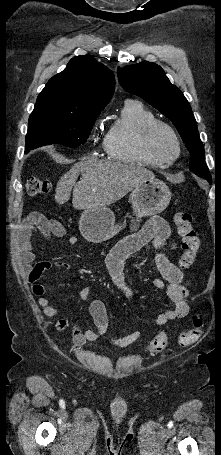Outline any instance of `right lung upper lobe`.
Listing matches in <instances>:
<instances>
[{"label":"right lung upper lobe","instance_id":"right-lung-upper-lobe-1","mask_svg":"<svg viewBox=\"0 0 221 455\" xmlns=\"http://www.w3.org/2000/svg\"><path fill=\"white\" fill-rule=\"evenodd\" d=\"M115 90L110 69L90 55L72 58L61 73L53 76L38 95L35 108L72 114L98 113Z\"/></svg>","mask_w":221,"mask_h":455}]
</instances>
